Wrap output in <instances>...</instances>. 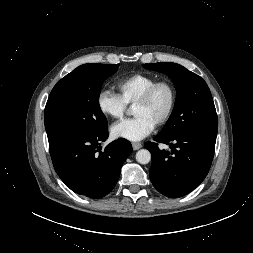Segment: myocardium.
I'll return each mask as SVG.
<instances>
[{
	"instance_id": "1",
	"label": "myocardium",
	"mask_w": 253,
	"mask_h": 253,
	"mask_svg": "<svg viewBox=\"0 0 253 253\" xmlns=\"http://www.w3.org/2000/svg\"><path fill=\"white\" fill-rule=\"evenodd\" d=\"M165 86L169 89L170 92V104L165 112V114L157 121L155 126L162 127L168 123L171 117L174 114L177 105V90L175 85L169 80H159L151 85L142 95L141 97L135 102L134 105H145L151 101L156 91Z\"/></svg>"
}]
</instances>
